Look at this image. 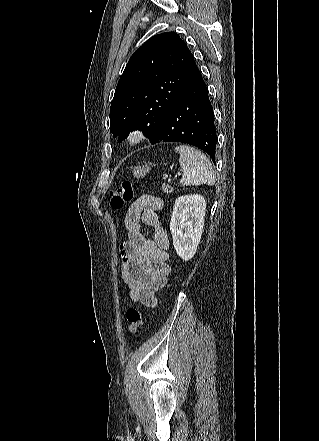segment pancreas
Wrapping results in <instances>:
<instances>
[{
    "label": "pancreas",
    "instance_id": "cf45deb5",
    "mask_svg": "<svg viewBox=\"0 0 319 441\" xmlns=\"http://www.w3.org/2000/svg\"><path fill=\"white\" fill-rule=\"evenodd\" d=\"M162 190L164 193L168 194V193H172L174 191V188L171 187L170 185L164 183L162 186Z\"/></svg>",
    "mask_w": 319,
    "mask_h": 441
}]
</instances>
